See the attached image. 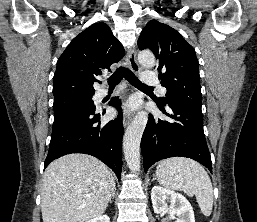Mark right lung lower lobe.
<instances>
[{
    "instance_id": "obj_1",
    "label": "right lung lower lobe",
    "mask_w": 257,
    "mask_h": 222,
    "mask_svg": "<svg viewBox=\"0 0 257 222\" xmlns=\"http://www.w3.org/2000/svg\"><path fill=\"white\" fill-rule=\"evenodd\" d=\"M120 104L118 97L113 98L110 105L119 111V115L105 125L100 123L101 115L97 112L72 113L54 120L44 168L66 154L84 153L104 162L120 179L124 133Z\"/></svg>"
}]
</instances>
